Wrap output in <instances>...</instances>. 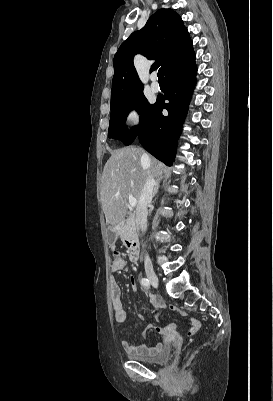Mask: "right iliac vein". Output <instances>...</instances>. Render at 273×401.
Wrapping results in <instances>:
<instances>
[{"label": "right iliac vein", "instance_id": "63e3f726", "mask_svg": "<svg viewBox=\"0 0 273 401\" xmlns=\"http://www.w3.org/2000/svg\"><path fill=\"white\" fill-rule=\"evenodd\" d=\"M145 272H146V275H147V278H148L149 282L154 287H158V277H157L154 269L151 266H147L145 268Z\"/></svg>", "mask_w": 273, "mask_h": 401}]
</instances>
